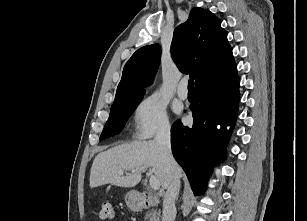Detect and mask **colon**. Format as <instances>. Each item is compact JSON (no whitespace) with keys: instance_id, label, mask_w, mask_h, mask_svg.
<instances>
[{"instance_id":"obj_1","label":"colon","mask_w":307,"mask_h":221,"mask_svg":"<svg viewBox=\"0 0 307 221\" xmlns=\"http://www.w3.org/2000/svg\"><path fill=\"white\" fill-rule=\"evenodd\" d=\"M98 218L101 221H110L114 218V207L111 202L102 203Z\"/></svg>"}]
</instances>
